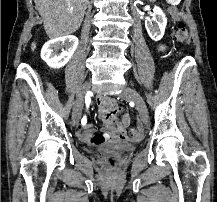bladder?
Masks as SVG:
<instances>
[{
  "label": "bladder",
  "mask_w": 217,
  "mask_h": 202,
  "mask_svg": "<svg viewBox=\"0 0 217 202\" xmlns=\"http://www.w3.org/2000/svg\"><path fill=\"white\" fill-rule=\"evenodd\" d=\"M104 148L106 150H112L117 152H131L135 145L130 144L128 142H122V141H116V140H110L108 141L104 146L97 147L96 149Z\"/></svg>",
  "instance_id": "31cf9c89"
}]
</instances>
